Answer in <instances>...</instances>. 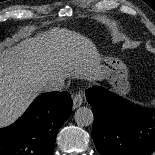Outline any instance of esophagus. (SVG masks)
Masks as SVG:
<instances>
[{
	"instance_id": "obj_1",
	"label": "esophagus",
	"mask_w": 155,
	"mask_h": 155,
	"mask_svg": "<svg viewBox=\"0 0 155 155\" xmlns=\"http://www.w3.org/2000/svg\"><path fill=\"white\" fill-rule=\"evenodd\" d=\"M83 103V92H78L73 96V109L80 107Z\"/></svg>"
}]
</instances>
